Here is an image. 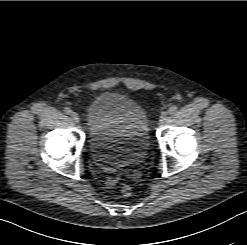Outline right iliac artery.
<instances>
[{
	"label": "right iliac artery",
	"mask_w": 247,
	"mask_h": 245,
	"mask_svg": "<svg viewBox=\"0 0 247 245\" xmlns=\"http://www.w3.org/2000/svg\"><path fill=\"white\" fill-rule=\"evenodd\" d=\"M64 112H65V114H70L71 113V109L69 107H65L64 108Z\"/></svg>",
	"instance_id": "right-iliac-artery-1"
}]
</instances>
